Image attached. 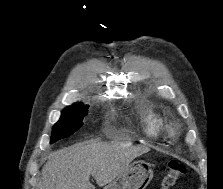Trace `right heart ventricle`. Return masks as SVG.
<instances>
[{"mask_svg": "<svg viewBox=\"0 0 223 189\" xmlns=\"http://www.w3.org/2000/svg\"><path fill=\"white\" fill-rule=\"evenodd\" d=\"M138 120L140 131L147 140H161L171 134L167 118L153 105H142Z\"/></svg>", "mask_w": 223, "mask_h": 189, "instance_id": "e07e8e85", "label": "right heart ventricle"}]
</instances>
